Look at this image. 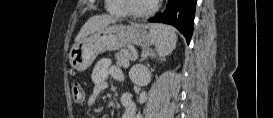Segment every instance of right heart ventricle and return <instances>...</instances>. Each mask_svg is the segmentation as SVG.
Masks as SVG:
<instances>
[{
  "mask_svg": "<svg viewBox=\"0 0 273 118\" xmlns=\"http://www.w3.org/2000/svg\"><path fill=\"white\" fill-rule=\"evenodd\" d=\"M106 9L112 14H126L125 0H108L106 2Z\"/></svg>",
  "mask_w": 273,
  "mask_h": 118,
  "instance_id": "e07e8e85",
  "label": "right heart ventricle"
}]
</instances>
